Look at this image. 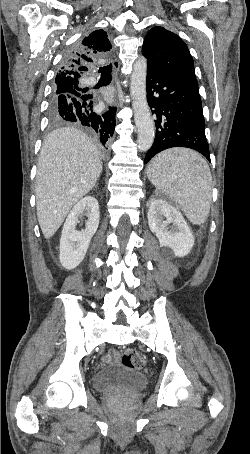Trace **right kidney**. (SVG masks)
<instances>
[{
    "instance_id": "1",
    "label": "right kidney",
    "mask_w": 250,
    "mask_h": 454,
    "mask_svg": "<svg viewBox=\"0 0 250 454\" xmlns=\"http://www.w3.org/2000/svg\"><path fill=\"white\" fill-rule=\"evenodd\" d=\"M87 216L85 229L76 230L79 218ZM99 204L95 197L82 198L70 211L61 234L59 259L61 265L68 270L76 268L84 259L91 238L99 225Z\"/></svg>"
}]
</instances>
